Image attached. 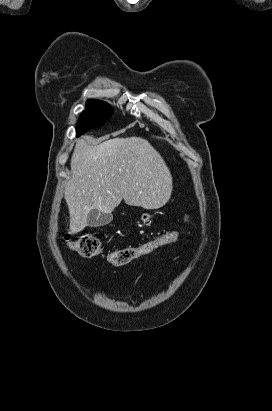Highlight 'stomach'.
<instances>
[{
	"instance_id": "0dacf381",
	"label": "stomach",
	"mask_w": 272,
	"mask_h": 411,
	"mask_svg": "<svg viewBox=\"0 0 272 411\" xmlns=\"http://www.w3.org/2000/svg\"><path fill=\"white\" fill-rule=\"evenodd\" d=\"M151 219H152V215H150L149 213H143L141 215V221L144 223L150 221Z\"/></svg>"
}]
</instances>
